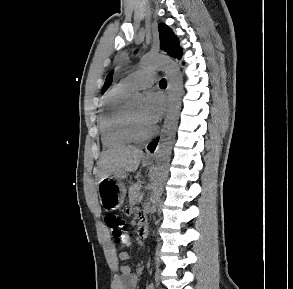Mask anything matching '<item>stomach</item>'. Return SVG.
Returning a JSON list of instances; mask_svg holds the SVG:
<instances>
[{
  "label": "stomach",
  "instance_id": "obj_1",
  "mask_svg": "<svg viewBox=\"0 0 293 289\" xmlns=\"http://www.w3.org/2000/svg\"><path fill=\"white\" fill-rule=\"evenodd\" d=\"M127 177L126 172L120 171L98 182L100 203L108 210H117L124 202L126 188L122 180Z\"/></svg>",
  "mask_w": 293,
  "mask_h": 289
}]
</instances>
